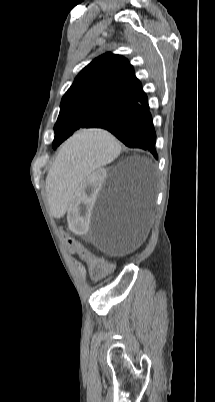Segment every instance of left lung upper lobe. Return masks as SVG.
I'll list each match as a JSON object with an SVG mask.
<instances>
[{"label": "left lung upper lobe", "mask_w": 215, "mask_h": 402, "mask_svg": "<svg viewBox=\"0 0 215 402\" xmlns=\"http://www.w3.org/2000/svg\"><path fill=\"white\" fill-rule=\"evenodd\" d=\"M141 91L142 85L126 58L112 53L95 58L82 69L62 98L53 148L80 128L96 127Z\"/></svg>", "instance_id": "obj_1"}]
</instances>
